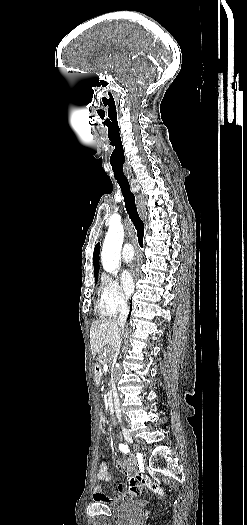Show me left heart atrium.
<instances>
[{
    "label": "left heart atrium",
    "mask_w": 247,
    "mask_h": 525,
    "mask_svg": "<svg viewBox=\"0 0 247 525\" xmlns=\"http://www.w3.org/2000/svg\"><path fill=\"white\" fill-rule=\"evenodd\" d=\"M144 270V258L140 251H136L129 267L122 273V281L126 292H131L134 283L142 278Z\"/></svg>",
    "instance_id": "left-heart-atrium-1"
}]
</instances>
